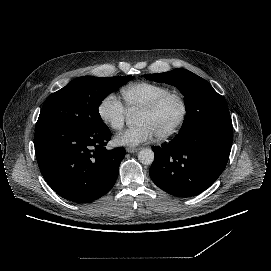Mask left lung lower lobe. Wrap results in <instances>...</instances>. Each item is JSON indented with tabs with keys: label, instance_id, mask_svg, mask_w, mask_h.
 I'll use <instances>...</instances> for the list:
<instances>
[{
	"label": "left lung lower lobe",
	"instance_id": "left-lung-lower-lobe-1",
	"mask_svg": "<svg viewBox=\"0 0 271 271\" xmlns=\"http://www.w3.org/2000/svg\"><path fill=\"white\" fill-rule=\"evenodd\" d=\"M233 141L232 124L205 123L179 132L153 147L152 181L177 197H191L210 187L223 172Z\"/></svg>",
	"mask_w": 271,
	"mask_h": 271
}]
</instances>
